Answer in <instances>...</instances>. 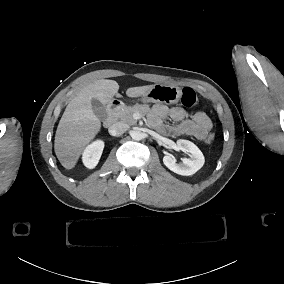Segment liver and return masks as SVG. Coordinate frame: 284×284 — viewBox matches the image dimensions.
<instances>
[{"mask_svg":"<svg viewBox=\"0 0 284 284\" xmlns=\"http://www.w3.org/2000/svg\"><path fill=\"white\" fill-rule=\"evenodd\" d=\"M153 85L128 88V97L145 96ZM119 85L114 80L100 79L82 86L67 105L56 130L54 149L61 165L72 169L85 146L94 139L101 122L92 109V99L108 104L118 94Z\"/></svg>","mask_w":284,"mask_h":284,"instance_id":"obj_1","label":"liver"}]
</instances>
